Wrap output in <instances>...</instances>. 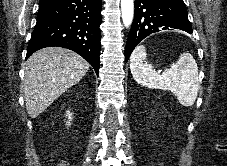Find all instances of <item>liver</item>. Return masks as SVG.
Instances as JSON below:
<instances>
[{
  "mask_svg": "<svg viewBox=\"0 0 227 166\" xmlns=\"http://www.w3.org/2000/svg\"><path fill=\"white\" fill-rule=\"evenodd\" d=\"M89 70V63L77 53L61 47L36 51L28 59L23 91L27 113L38 117Z\"/></svg>",
  "mask_w": 227,
  "mask_h": 166,
  "instance_id": "6515ba94",
  "label": "liver"
}]
</instances>
